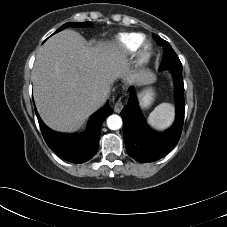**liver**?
Wrapping results in <instances>:
<instances>
[{"label": "liver", "mask_w": 227, "mask_h": 227, "mask_svg": "<svg viewBox=\"0 0 227 227\" xmlns=\"http://www.w3.org/2000/svg\"><path fill=\"white\" fill-rule=\"evenodd\" d=\"M118 78L135 84L150 81L152 74L133 70L125 53L113 43L90 47L73 30L59 32L36 56L32 80L38 113L53 130L77 131L104 103ZM97 92L106 96L99 104L92 98Z\"/></svg>", "instance_id": "1"}]
</instances>
